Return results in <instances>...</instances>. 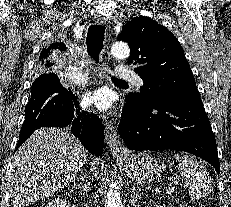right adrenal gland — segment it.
Returning a JSON list of instances; mask_svg holds the SVG:
<instances>
[{"label":"right adrenal gland","instance_id":"right-adrenal-gland-1","mask_svg":"<svg viewBox=\"0 0 231 207\" xmlns=\"http://www.w3.org/2000/svg\"><path fill=\"white\" fill-rule=\"evenodd\" d=\"M89 185L90 183L87 180L86 174H84L83 171L81 170L79 177H78V182L75 183L74 181V186L76 187V189L78 187L81 190V192L85 194L87 191L90 190Z\"/></svg>","mask_w":231,"mask_h":207}]
</instances>
